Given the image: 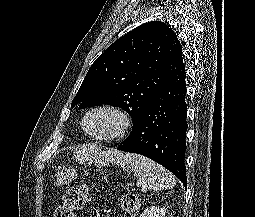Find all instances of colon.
I'll use <instances>...</instances> for the list:
<instances>
[{"mask_svg":"<svg viewBox=\"0 0 255 217\" xmlns=\"http://www.w3.org/2000/svg\"><path fill=\"white\" fill-rule=\"evenodd\" d=\"M89 199V191L84 187L67 189L62 196V203L54 210L53 217H75ZM122 211L133 217L139 209V199L135 194H125L121 198Z\"/></svg>","mask_w":255,"mask_h":217,"instance_id":"colon-1","label":"colon"}]
</instances>
